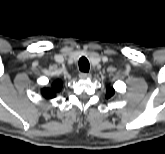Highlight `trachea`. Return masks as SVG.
<instances>
[{"instance_id":"3493384b","label":"trachea","mask_w":165,"mask_h":154,"mask_svg":"<svg viewBox=\"0 0 165 154\" xmlns=\"http://www.w3.org/2000/svg\"><path fill=\"white\" fill-rule=\"evenodd\" d=\"M79 69L82 72H89L90 69V65H89V61L87 60V58L85 57H81L79 59Z\"/></svg>"}]
</instances>
